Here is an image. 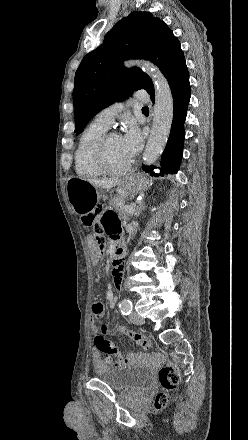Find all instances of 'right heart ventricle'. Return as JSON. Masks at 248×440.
I'll use <instances>...</instances> for the list:
<instances>
[{
    "mask_svg": "<svg viewBox=\"0 0 248 440\" xmlns=\"http://www.w3.org/2000/svg\"><path fill=\"white\" fill-rule=\"evenodd\" d=\"M107 129L94 121L81 134L75 152V169L79 175L96 178L103 174L94 161V152L98 141Z\"/></svg>",
    "mask_w": 248,
    "mask_h": 440,
    "instance_id": "obj_1",
    "label": "right heart ventricle"
}]
</instances>
